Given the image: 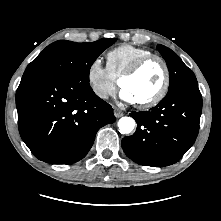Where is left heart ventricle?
Masks as SVG:
<instances>
[{
    "mask_svg": "<svg viewBox=\"0 0 221 221\" xmlns=\"http://www.w3.org/2000/svg\"><path fill=\"white\" fill-rule=\"evenodd\" d=\"M164 79L162 65L152 60L148 62L137 74L122 82V88L127 90L135 102H143L153 97Z\"/></svg>",
    "mask_w": 221,
    "mask_h": 221,
    "instance_id": "b2bd125f",
    "label": "left heart ventricle"
}]
</instances>
